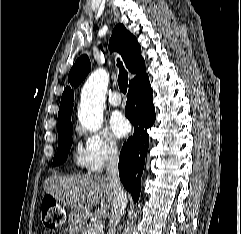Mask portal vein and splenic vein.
<instances>
[{
    "instance_id": "1",
    "label": "portal vein and splenic vein",
    "mask_w": 241,
    "mask_h": 234,
    "mask_svg": "<svg viewBox=\"0 0 241 234\" xmlns=\"http://www.w3.org/2000/svg\"><path fill=\"white\" fill-rule=\"evenodd\" d=\"M93 226H94L95 229H98V230H100V231L103 230V224H102V222H100V221L94 222Z\"/></svg>"
}]
</instances>
